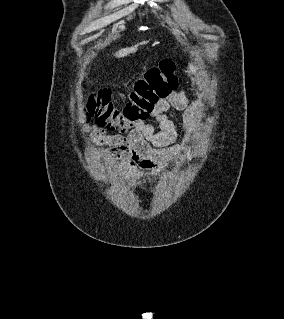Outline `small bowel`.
<instances>
[{"label": "small bowel", "mask_w": 284, "mask_h": 319, "mask_svg": "<svg viewBox=\"0 0 284 319\" xmlns=\"http://www.w3.org/2000/svg\"><path fill=\"white\" fill-rule=\"evenodd\" d=\"M170 109L183 112V134L186 138H192L197 130L202 104L191 101L185 91L172 92L155 105L151 115L158 128L143 121L126 136H110L99 126L84 127L82 130L91 135L93 143L113 146L114 149L106 153L105 158L119 160L126 174L143 182V172L159 177L177 158L175 143L179 131L166 114Z\"/></svg>", "instance_id": "small-bowel-1"}]
</instances>
